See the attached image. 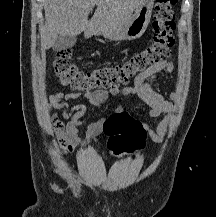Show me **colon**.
<instances>
[{
	"mask_svg": "<svg viewBox=\"0 0 216 217\" xmlns=\"http://www.w3.org/2000/svg\"><path fill=\"white\" fill-rule=\"evenodd\" d=\"M178 0H156L153 19V39L144 49L132 54L126 61L113 66L81 70L69 59V50L60 51L53 61L57 79L78 90L109 88L126 83L133 76L159 63L170 55L175 29L173 8ZM53 129L62 144H66L64 124L56 120ZM104 131L108 135V149L113 155L135 154L145 145L146 133L141 123L128 114L110 118Z\"/></svg>",
	"mask_w": 216,
	"mask_h": 217,
	"instance_id": "1",
	"label": "colon"
}]
</instances>
